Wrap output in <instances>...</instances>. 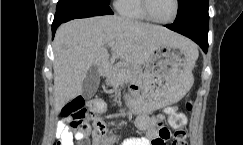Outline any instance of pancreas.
<instances>
[{"label": "pancreas", "mask_w": 243, "mask_h": 145, "mask_svg": "<svg viewBox=\"0 0 243 145\" xmlns=\"http://www.w3.org/2000/svg\"><path fill=\"white\" fill-rule=\"evenodd\" d=\"M141 70L139 67H133L128 63L119 62L111 67L108 75V83L116 85L122 81H130L141 77Z\"/></svg>", "instance_id": "pancreas-1"}]
</instances>
